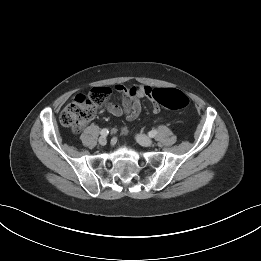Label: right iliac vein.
I'll return each mask as SVG.
<instances>
[{
    "label": "right iliac vein",
    "instance_id": "obj_1",
    "mask_svg": "<svg viewBox=\"0 0 261 261\" xmlns=\"http://www.w3.org/2000/svg\"><path fill=\"white\" fill-rule=\"evenodd\" d=\"M98 141L101 146H105L107 143V139L105 136H101Z\"/></svg>",
    "mask_w": 261,
    "mask_h": 261
}]
</instances>
